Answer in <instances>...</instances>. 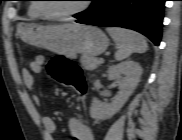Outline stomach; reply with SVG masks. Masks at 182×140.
I'll list each match as a JSON object with an SVG mask.
<instances>
[{
    "label": "stomach",
    "mask_w": 182,
    "mask_h": 140,
    "mask_svg": "<svg viewBox=\"0 0 182 140\" xmlns=\"http://www.w3.org/2000/svg\"><path fill=\"white\" fill-rule=\"evenodd\" d=\"M17 33L24 42L44 47L59 55L74 56L81 53L95 57L102 54L109 45V39L103 31L88 25L43 26L19 23Z\"/></svg>",
    "instance_id": "0dacf381"
}]
</instances>
